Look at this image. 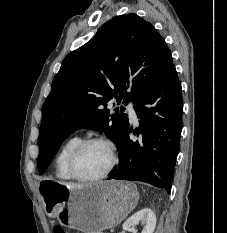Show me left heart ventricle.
<instances>
[{"label": "left heart ventricle", "instance_id": "b2bd125f", "mask_svg": "<svg viewBox=\"0 0 227 233\" xmlns=\"http://www.w3.org/2000/svg\"><path fill=\"white\" fill-rule=\"evenodd\" d=\"M109 163L108 148L103 144L94 143L81 150L76 158L75 168L82 176H95L105 171Z\"/></svg>", "mask_w": 227, "mask_h": 233}]
</instances>
